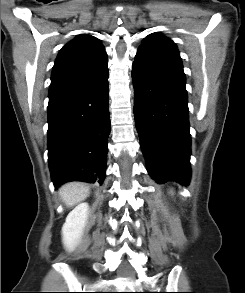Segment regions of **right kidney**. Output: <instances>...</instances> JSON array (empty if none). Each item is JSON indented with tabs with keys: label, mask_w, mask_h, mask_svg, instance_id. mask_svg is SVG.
<instances>
[{
	"label": "right kidney",
	"mask_w": 245,
	"mask_h": 293,
	"mask_svg": "<svg viewBox=\"0 0 245 293\" xmlns=\"http://www.w3.org/2000/svg\"><path fill=\"white\" fill-rule=\"evenodd\" d=\"M89 214L87 203L77 205L67 216L62 227V241L68 250H73L77 245L85 228Z\"/></svg>",
	"instance_id": "obj_1"
}]
</instances>
